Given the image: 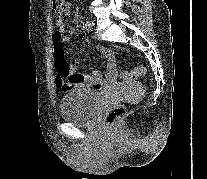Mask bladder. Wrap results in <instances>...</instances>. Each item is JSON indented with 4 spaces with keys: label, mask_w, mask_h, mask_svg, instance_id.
I'll return each mask as SVG.
<instances>
[{
    "label": "bladder",
    "mask_w": 207,
    "mask_h": 179,
    "mask_svg": "<svg viewBox=\"0 0 207 179\" xmlns=\"http://www.w3.org/2000/svg\"><path fill=\"white\" fill-rule=\"evenodd\" d=\"M100 111V94L87 88L68 91L60 103L61 119L76 126L92 124Z\"/></svg>",
    "instance_id": "1"
}]
</instances>
